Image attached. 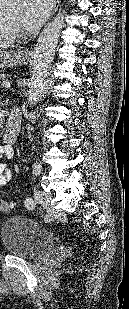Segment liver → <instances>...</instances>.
<instances>
[{"instance_id":"6515ba94","label":"liver","mask_w":129,"mask_h":309,"mask_svg":"<svg viewBox=\"0 0 129 309\" xmlns=\"http://www.w3.org/2000/svg\"><path fill=\"white\" fill-rule=\"evenodd\" d=\"M8 46L7 45H5V44H0V50H2V49H6Z\"/></svg>"}]
</instances>
